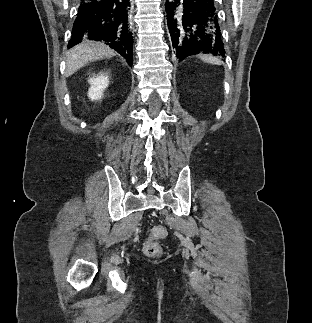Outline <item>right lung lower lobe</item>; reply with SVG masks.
Instances as JSON below:
<instances>
[{
  "instance_id": "obj_1",
  "label": "right lung lower lobe",
  "mask_w": 312,
  "mask_h": 323,
  "mask_svg": "<svg viewBox=\"0 0 312 323\" xmlns=\"http://www.w3.org/2000/svg\"><path fill=\"white\" fill-rule=\"evenodd\" d=\"M130 0H81L68 47L83 38L104 42L132 65Z\"/></svg>"
}]
</instances>
